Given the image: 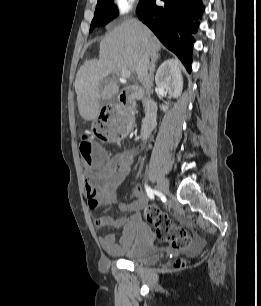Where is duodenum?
<instances>
[{
    "label": "duodenum",
    "mask_w": 261,
    "mask_h": 306,
    "mask_svg": "<svg viewBox=\"0 0 261 306\" xmlns=\"http://www.w3.org/2000/svg\"><path fill=\"white\" fill-rule=\"evenodd\" d=\"M119 104L129 109L137 100H143L145 103V115L142 120L141 133L143 136L148 134L156 126L157 119V105L156 103L147 98L142 90L134 86L124 88L118 96Z\"/></svg>",
    "instance_id": "410a0bca"
}]
</instances>
